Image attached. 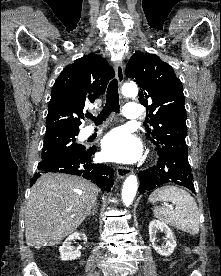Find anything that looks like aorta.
Listing matches in <instances>:
<instances>
[{"label": "aorta", "mask_w": 221, "mask_h": 276, "mask_svg": "<svg viewBox=\"0 0 221 276\" xmlns=\"http://www.w3.org/2000/svg\"><path fill=\"white\" fill-rule=\"evenodd\" d=\"M123 95L127 97H136L138 94V88L134 83H126L122 87ZM138 188V181L135 175H129L123 184L122 188V200L126 206L131 205L133 202Z\"/></svg>", "instance_id": "obj_1"}]
</instances>
